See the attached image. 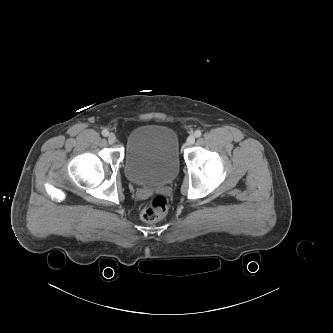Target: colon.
<instances>
[{"mask_svg":"<svg viewBox=\"0 0 333 333\" xmlns=\"http://www.w3.org/2000/svg\"><path fill=\"white\" fill-rule=\"evenodd\" d=\"M168 211L167 200L163 196L154 197L150 204L141 211V219L146 222H155L163 219Z\"/></svg>","mask_w":333,"mask_h":333,"instance_id":"obj_1","label":"colon"}]
</instances>
